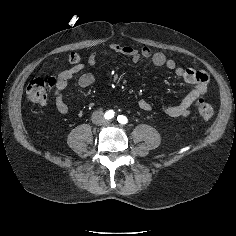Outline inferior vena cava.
<instances>
[{
    "label": "inferior vena cava",
    "mask_w": 236,
    "mask_h": 236,
    "mask_svg": "<svg viewBox=\"0 0 236 236\" xmlns=\"http://www.w3.org/2000/svg\"><path fill=\"white\" fill-rule=\"evenodd\" d=\"M102 115H103V113L101 111L94 112L92 115V121L96 124L100 123L103 120Z\"/></svg>",
    "instance_id": "inferior-vena-cava-1"
}]
</instances>
